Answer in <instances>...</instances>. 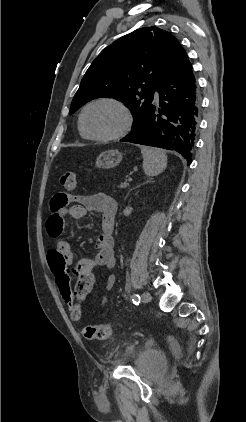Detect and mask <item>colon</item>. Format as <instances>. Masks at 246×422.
<instances>
[{"instance_id":"1","label":"colon","mask_w":246,"mask_h":422,"mask_svg":"<svg viewBox=\"0 0 246 422\" xmlns=\"http://www.w3.org/2000/svg\"><path fill=\"white\" fill-rule=\"evenodd\" d=\"M59 184L68 191L74 190L76 187L75 173L71 171L62 173L59 177ZM47 260L55 276L61 298L68 307L71 320L74 322L80 321L83 302L94 285L95 276L93 272L78 275L72 290L70 287L71 271L66 258L56 249H51L47 254ZM82 334L87 339L107 340L111 337L112 329L109 324L85 326L82 329ZM168 342L173 350H178V344L173 337L169 336Z\"/></svg>"}]
</instances>
